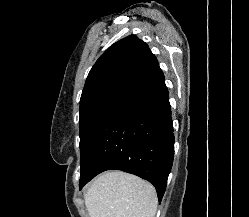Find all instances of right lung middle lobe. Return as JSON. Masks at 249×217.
<instances>
[{"label": "right lung middle lobe", "instance_id": "1", "mask_svg": "<svg viewBox=\"0 0 249 217\" xmlns=\"http://www.w3.org/2000/svg\"><path fill=\"white\" fill-rule=\"evenodd\" d=\"M124 94L121 91H109L80 103V153L81 159L88 147L93 132L98 127L113 104Z\"/></svg>", "mask_w": 249, "mask_h": 217}]
</instances>
